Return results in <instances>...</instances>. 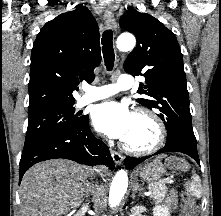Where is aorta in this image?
<instances>
[{
	"mask_svg": "<svg viewBox=\"0 0 221 216\" xmlns=\"http://www.w3.org/2000/svg\"><path fill=\"white\" fill-rule=\"evenodd\" d=\"M117 48L122 52L131 51L136 40L132 34H121L116 41ZM128 187V175L125 170L117 172L111 183L109 191V204L111 207L118 205L124 197Z\"/></svg>",
	"mask_w": 221,
	"mask_h": 216,
	"instance_id": "aorta-1",
	"label": "aorta"
}]
</instances>
